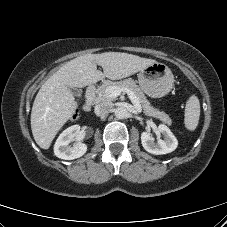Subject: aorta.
I'll use <instances>...</instances> for the list:
<instances>
[{
	"label": "aorta",
	"mask_w": 227,
	"mask_h": 227,
	"mask_svg": "<svg viewBox=\"0 0 227 227\" xmlns=\"http://www.w3.org/2000/svg\"><path fill=\"white\" fill-rule=\"evenodd\" d=\"M114 113H115V116L118 119H125L128 116V111L124 107H118V108H116Z\"/></svg>",
	"instance_id": "762f6f07"
}]
</instances>
